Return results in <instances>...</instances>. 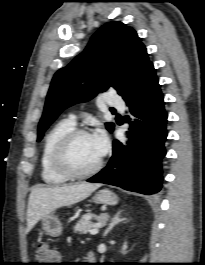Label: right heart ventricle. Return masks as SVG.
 Masks as SVG:
<instances>
[{"instance_id":"obj_1","label":"right heart ventricle","mask_w":205,"mask_h":265,"mask_svg":"<svg viewBox=\"0 0 205 265\" xmlns=\"http://www.w3.org/2000/svg\"><path fill=\"white\" fill-rule=\"evenodd\" d=\"M74 128V123L69 119H64L56 123L45 135L41 151V177L45 183L58 185L67 181L66 177L54 169L52 155L61 138Z\"/></svg>"}]
</instances>
